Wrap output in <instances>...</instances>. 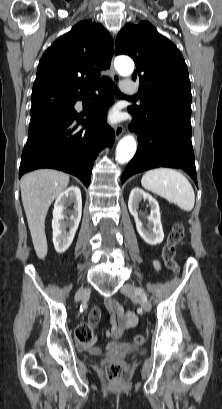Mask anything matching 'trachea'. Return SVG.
<instances>
[{
  "label": "trachea",
  "mask_w": 222,
  "mask_h": 409,
  "mask_svg": "<svg viewBox=\"0 0 222 409\" xmlns=\"http://www.w3.org/2000/svg\"><path fill=\"white\" fill-rule=\"evenodd\" d=\"M111 89H112V92H113V94L116 96V97H119V98H127V99H136V97H129V96H126V95H124L123 93H121V91L119 90V88L117 87V85L114 83V82H111Z\"/></svg>",
  "instance_id": "obj_1"
}]
</instances>
